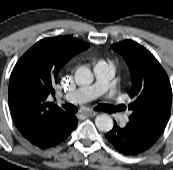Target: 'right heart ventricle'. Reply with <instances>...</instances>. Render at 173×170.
Listing matches in <instances>:
<instances>
[{"label": "right heart ventricle", "mask_w": 173, "mask_h": 170, "mask_svg": "<svg viewBox=\"0 0 173 170\" xmlns=\"http://www.w3.org/2000/svg\"><path fill=\"white\" fill-rule=\"evenodd\" d=\"M108 65H110V66H112L113 67V64L112 63H110V62H106Z\"/></svg>", "instance_id": "1"}]
</instances>
